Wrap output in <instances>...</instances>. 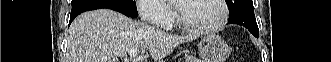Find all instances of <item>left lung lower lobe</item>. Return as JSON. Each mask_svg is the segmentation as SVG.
<instances>
[{
    "instance_id": "1",
    "label": "left lung lower lobe",
    "mask_w": 331,
    "mask_h": 62,
    "mask_svg": "<svg viewBox=\"0 0 331 62\" xmlns=\"http://www.w3.org/2000/svg\"><path fill=\"white\" fill-rule=\"evenodd\" d=\"M243 26V25H242ZM245 27V26H244ZM247 28V27H246ZM252 34H253V30L252 29H250V28H247ZM254 35V34H253ZM255 36V35H254ZM256 37H258V36H256Z\"/></svg>"
}]
</instances>
